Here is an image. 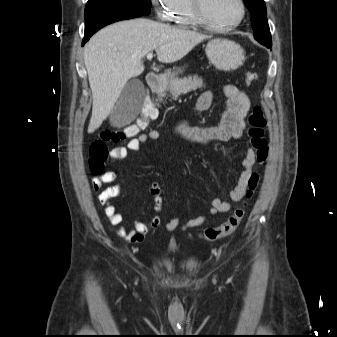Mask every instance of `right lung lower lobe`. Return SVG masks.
Wrapping results in <instances>:
<instances>
[{"label":"right lung lower lobe","instance_id":"obj_1","mask_svg":"<svg viewBox=\"0 0 337 337\" xmlns=\"http://www.w3.org/2000/svg\"><path fill=\"white\" fill-rule=\"evenodd\" d=\"M144 14L127 10H109L88 17L85 23V34L82 45L102 27L116 21L140 17Z\"/></svg>","mask_w":337,"mask_h":337}]
</instances>
